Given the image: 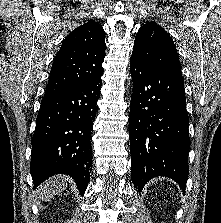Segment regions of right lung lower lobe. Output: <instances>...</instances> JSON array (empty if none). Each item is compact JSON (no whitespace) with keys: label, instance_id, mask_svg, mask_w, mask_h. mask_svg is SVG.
Wrapping results in <instances>:
<instances>
[{"label":"right lung lower lobe","instance_id":"right-lung-lower-lobe-1","mask_svg":"<svg viewBox=\"0 0 221 223\" xmlns=\"http://www.w3.org/2000/svg\"><path fill=\"white\" fill-rule=\"evenodd\" d=\"M102 74L42 99L31 141L34 188L55 174H68L84 194L92 168L90 139Z\"/></svg>","mask_w":221,"mask_h":223}]
</instances>
